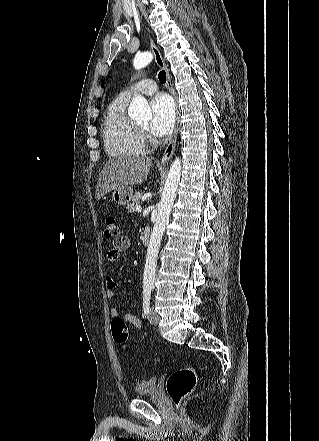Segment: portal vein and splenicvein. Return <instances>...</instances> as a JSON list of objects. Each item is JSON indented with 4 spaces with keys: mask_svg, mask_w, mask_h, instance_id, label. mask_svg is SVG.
Returning <instances> with one entry per match:
<instances>
[{
    "mask_svg": "<svg viewBox=\"0 0 319 441\" xmlns=\"http://www.w3.org/2000/svg\"><path fill=\"white\" fill-rule=\"evenodd\" d=\"M141 211H142V208L140 206H137L136 207V212H141Z\"/></svg>",
    "mask_w": 319,
    "mask_h": 441,
    "instance_id": "obj_1",
    "label": "portal vein and splenic vein"
}]
</instances>
